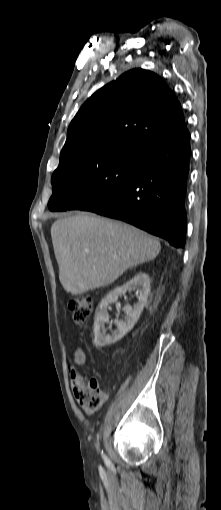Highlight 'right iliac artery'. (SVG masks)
Listing matches in <instances>:
<instances>
[{"label": "right iliac artery", "instance_id": "right-iliac-artery-1", "mask_svg": "<svg viewBox=\"0 0 221 510\" xmlns=\"http://www.w3.org/2000/svg\"><path fill=\"white\" fill-rule=\"evenodd\" d=\"M102 455H103V458H104L105 462L106 463H110V460L103 454V452H102Z\"/></svg>", "mask_w": 221, "mask_h": 510}]
</instances>
